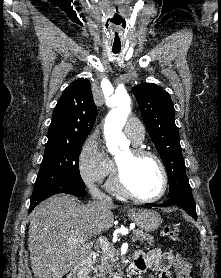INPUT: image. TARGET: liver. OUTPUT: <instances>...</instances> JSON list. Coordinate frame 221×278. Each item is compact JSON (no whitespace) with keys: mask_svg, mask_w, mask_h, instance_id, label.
Instances as JSON below:
<instances>
[{"mask_svg":"<svg viewBox=\"0 0 221 278\" xmlns=\"http://www.w3.org/2000/svg\"><path fill=\"white\" fill-rule=\"evenodd\" d=\"M114 208L103 201L80 204L64 194L40 203L31 213L28 235L35 278H62L85 260L94 237L113 226Z\"/></svg>","mask_w":221,"mask_h":278,"instance_id":"liver-1","label":"liver"}]
</instances>
